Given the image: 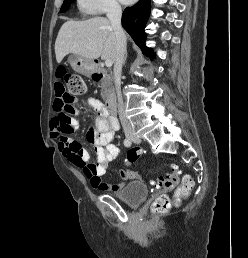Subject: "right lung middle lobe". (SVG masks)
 <instances>
[{"label": "right lung middle lobe", "instance_id": "obj_1", "mask_svg": "<svg viewBox=\"0 0 248 258\" xmlns=\"http://www.w3.org/2000/svg\"><path fill=\"white\" fill-rule=\"evenodd\" d=\"M71 2H72V0H64L63 5H62L60 11L61 12H65L69 8Z\"/></svg>", "mask_w": 248, "mask_h": 258}]
</instances>
